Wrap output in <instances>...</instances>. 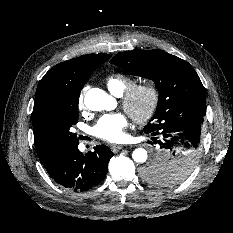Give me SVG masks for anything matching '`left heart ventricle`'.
I'll return each instance as SVG.
<instances>
[{"label":"left heart ventricle","mask_w":233,"mask_h":233,"mask_svg":"<svg viewBox=\"0 0 233 233\" xmlns=\"http://www.w3.org/2000/svg\"><path fill=\"white\" fill-rule=\"evenodd\" d=\"M137 106H138L139 109H143V108H144V106H145V101H144L143 98H140V99L138 100Z\"/></svg>","instance_id":"b2bd125f"}]
</instances>
